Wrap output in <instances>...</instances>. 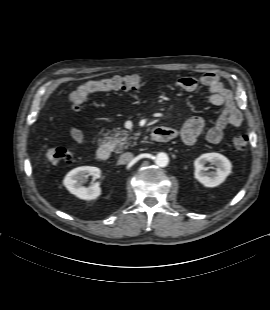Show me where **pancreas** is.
Returning a JSON list of instances; mask_svg holds the SVG:
<instances>
[{
    "instance_id": "1",
    "label": "pancreas",
    "mask_w": 270,
    "mask_h": 310,
    "mask_svg": "<svg viewBox=\"0 0 270 310\" xmlns=\"http://www.w3.org/2000/svg\"><path fill=\"white\" fill-rule=\"evenodd\" d=\"M105 143L111 149L119 152L128 148L132 144V139L136 137L130 136V132L126 130H120L119 128L114 130V133L105 135Z\"/></svg>"
}]
</instances>
